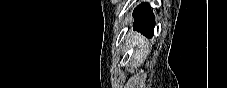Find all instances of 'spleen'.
Here are the masks:
<instances>
[{
  "label": "spleen",
  "mask_w": 227,
  "mask_h": 88,
  "mask_svg": "<svg viewBox=\"0 0 227 88\" xmlns=\"http://www.w3.org/2000/svg\"><path fill=\"white\" fill-rule=\"evenodd\" d=\"M128 38L132 46H137L138 48H141L147 45V40L138 33L131 32L129 33Z\"/></svg>",
  "instance_id": "3e777b00"
}]
</instances>
